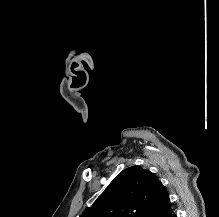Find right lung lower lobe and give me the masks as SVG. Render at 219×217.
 Masks as SVG:
<instances>
[{
    "instance_id": "1",
    "label": "right lung lower lobe",
    "mask_w": 219,
    "mask_h": 217,
    "mask_svg": "<svg viewBox=\"0 0 219 217\" xmlns=\"http://www.w3.org/2000/svg\"><path fill=\"white\" fill-rule=\"evenodd\" d=\"M165 217H176V215L173 212L172 208L166 213Z\"/></svg>"
}]
</instances>
